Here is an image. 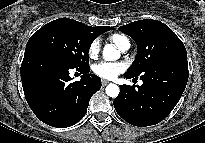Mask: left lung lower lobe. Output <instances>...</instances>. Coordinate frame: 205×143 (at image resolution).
I'll use <instances>...</instances> for the list:
<instances>
[{
  "mask_svg": "<svg viewBox=\"0 0 205 143\" xmlns=\"http://www.w3.org/2000/svg\"><path fill=\"white\" fill-rule=\"evenodd\" d=\"M126 78H133L125 74ZM141 86L120 85L114 108L126 122L150 126L166 118L178 103L188 81L187 56L155 63L141 74Z\"/></svg>",
  "mask_w": 205,
  "mask_h": 143,
  "instance_id": "left-lung-lower-lobe-1",
  "label": "left lung lower lobe"
}]
</instances>
